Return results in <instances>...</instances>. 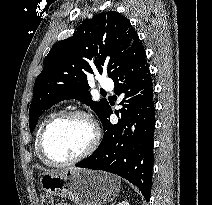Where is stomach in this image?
<instances>
[{"label": "stomach", "mask_w": 212, "mask_h": 205, "mask_svg": "<svg viewBox=\"0 0 212 205\" xmlns=\"http://www.w3.org/2000/svg\"><path fill=\"white\" fill-rule=\"evenodd\" d=\"M43 191L68 198L76 205H104L120 192L118 179L109 173L66 168L44 174L40 179Z\"/></svg>", "instance_id": "stomach-1"}]
</instances>
